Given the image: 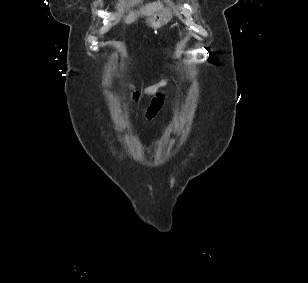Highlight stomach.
Listing matches in <instances>:
<instances>
[{"mask_svg": "<svg viewBox=\"0 0 308 283\" xmlns=\"http://www.w3.org/2000/svg\"><path fill=\"white\" fill-rule=\"evenodd\" d=\"M172 19V11L170 9H163L146 20V24L153 29H159L167 24Z\"/></svg>", "mask_w": 308, "mask_h": 283, "instance_id": "1", "label": "stomach"}]
</instances>
